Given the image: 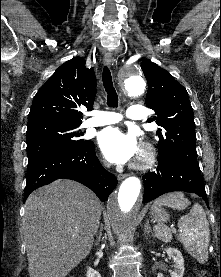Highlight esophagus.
<instances>
[{"mask_svg": "<svg viewBox=\"0 0 221 277\" xmlns=\"http://www.w3.org/2000/svg\"><path fill=\"white\" fill-rule=\"evenodd\" d=\"M103 63L106 66H110L111 65V54L109 52H106L104 54V58H103ZM127 175L126 174H119L117 176L118 180H123L124 178H126Z\"/></svg>", "mask_w": 221, "mask_h": 277, "instance_id": "esophagus-1", "label": "esophagus"}]
</instances>
